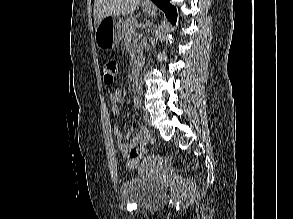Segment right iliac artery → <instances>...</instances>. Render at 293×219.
Returning a JSON list of instances; mask_svg holds the SVG:
<instances>
[{"mask_svg": "<svg viewBox=\"0 0 293 219\" xmlns=\"http://www.w3.org/2000/svg\"><path fill=\"white\" fill-rule=\"evenodd\" d=\"M140 105H141V102H140L139 97L138 96H135L134 97V106H135V108L138 109L140 107Z\"/></svg>", "mask_w": 293, "mask_h": 219, "instance_id": "82829eb1", "label": "right iliac artery"}]
</instances>
